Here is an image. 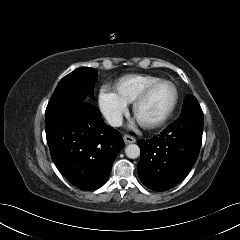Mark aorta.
Wrapping results in <instances>:
<instances>
[{"instance_id": "aorta-1", "label": "aorta", "mask_w": 240, "mask_h": 240, "mask_svg": "<svg viewBox=\"0 0 240 240\" xmlns=\"http://www.w3.org/2000/svg\"><path fill=\"white\" fill-rule=\"evenodd\" d=\"M125 154L130 159H135L140 156V148L136 144H129L125 148Z\"/></svg>"}]
</instances>
